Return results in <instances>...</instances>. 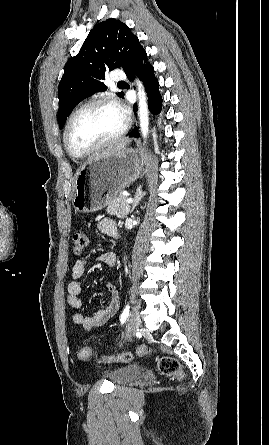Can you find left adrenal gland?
Listing matches in <instances>:
<instances>
[{
    "mask_svg": "<svg viewBox=\"0 0 269 445\" xmlns=\"http://www.w3.org/2000/svg\"><path fill=\"white\" fill-rule=\"evenodd\" d=\"M145 193H142L140 190L138 191V193L135 196V200H134V204L133 207L131 209V213L133 212V210L135 209V207L139 204L140 200L142 199V197L144 196Z\"/></svg>",
    "mask_w": 269,
    "mask_h": 445,
    "instance_id": "a2214340",
    "label": "left adrenal gland"
}]
</instances>
